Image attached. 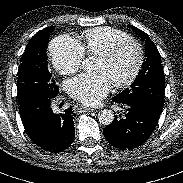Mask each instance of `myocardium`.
Masks as SVG:
<instances>
[{
	"mask_svg": "<svg viewBox=\"0 0 183 183\" xmlns=\"http://www.w3.org/2000/svg\"><path fill=\"white\" fill-rule=\"evenodd\" d=\"M128 44H133L138 49V60L137 63L132 71V73L125 78L124 80L114 82L113 86L116 88H123L126 86L131 85L139 76L144 60H145V51L143 45L136 39L128 38L121 41L116 42L112 46H110L108 49L104 50L103 52L99 53L97 57L108 60L113 58L124 46Z\"/></svg>",
	"mask_w": 183,
	"mask_h": 183,
	"instance_id": "1",
	"label": "myocardium"
}]
</instances>
